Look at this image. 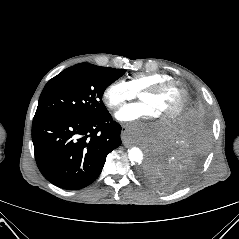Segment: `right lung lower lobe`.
I'll use <instances>...</instances> for the list:
<instances>
[{"label": "right lung lower lobe", "instance_id": "1", "mask_svg": "<svg viewBox=\"0 0 239 239\" xmlns=\"http://www.w3.org/2000/svg\"><path fill=\"white\" fill-rule=\"evenodd\" d=\"M121 126L107 112L96 118L38 116L32 124L37 166L52 184L76 190L100 175L108 153L120 146Z\"/></svg>", "mask_w": 239, "mask_h": 239}]
</instances>
